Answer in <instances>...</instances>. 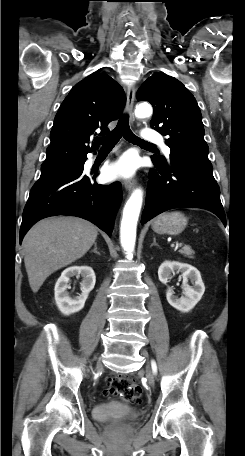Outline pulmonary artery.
Wrapping results in <instances>:
<instances>
[{
  "label": "pulmonary artery",
  "instance_id": "e3ab8cb5",
  "mask_svg": "<svg viewBox=\"0 0 245 456\" xmlns=\"http://www.w3.org/2000/svg\"><path fill=\"white\" fill-rule=\"evenodd\" d=\"M142 137H143V140L146 142H155V143L161 144L164 152L167 155L170 154L169 147L164 144L163 138L158 132H156L152 129H145L142 133Z\"/></svg>",
  "mask_w": 245,
  "mask_h": 456
}]
</instances>
